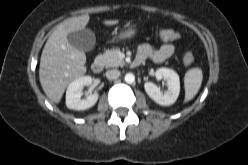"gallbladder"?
<instances>
[{"instance_id": "gallbladder-1", "label": "gallbladder", "mask_w": 248, "mask_h": 165, "mask_svg": "<svg viewBox=\"0 0 248 165\" xmlns=\"http://www.w3.org/2000/svg\"><path fill=\"white\" fill-rule=\"evenodd\" d=\"M67 39L73 47L85 52L92 50L96 42L95 34L90 29L70 32Z\"/></svg>"}]
</instances>
